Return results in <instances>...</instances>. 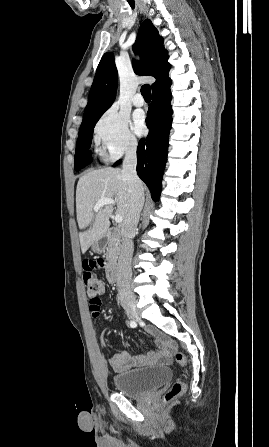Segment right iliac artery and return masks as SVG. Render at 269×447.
Returning a JSON list of instances; mask_svg holds the SVG:
<instances>
[{"label":"right iliac artery","instance_id":"obj_1","mask_svg":"<svg viewBox=\"0 0 269 447\" xmlns=\"http://www.w3.org/2000/svg\"><path fill=\"white\" fill-rule=\"evenodd\" d=\"M130 326H131V327H135V326H136V323H135L134 321H131V322H130Z\"/></svg>","mask_w":269,"mask_h":447}]
</instances>
